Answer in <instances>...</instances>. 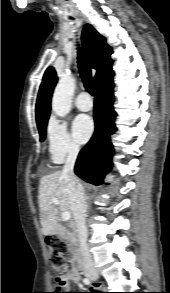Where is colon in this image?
<instances>
[{
	"mask_svg": "<svg viewBox=\"0 0 170 293\" xmlns=\"http://www.w3.org/2000/svg\"><path fill=\"white\" fill-rule=\"evenodd\" d=\"M47 243L51 248L49 261L55 272L56 290L52 293H65L67 287V277L65 275L67 267V246L57 237L47 238Z\"/></svg>",
	"mask_w": 170,
	"mask_h": 293,
	"instance_id": "obj_1",
	"label": "colon"
}]
</instances>
